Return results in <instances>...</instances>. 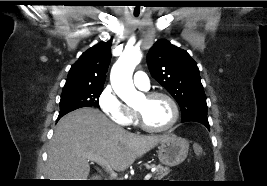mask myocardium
Returning <instances> with one entry per match:
<instances>
[{"mask_svg":"<svg viewBox=\"0 0 267 186\" xmlns=\"http://www.w3.org/2000/svg\"><path fill=\"white\" fill-rule=\"evenodd\" d=\"M156 97H163L168 100L172 108V118L167 125L160 127V128H154L146 124L142 113L136 109L135 115H136V119H137V123L139 127L142 130L146 132H150V133H162V132L168 131L175 126V124L178 122V119H179V107H178L177 102L171 95H169L166 92H162V91H153V92H148L145 94V98L148 100L156 98Z\"/></svg>","mask_w":267,"mask_h":186,"instance_id":"f54148a6","label":"myocardium"}]
</instances>
